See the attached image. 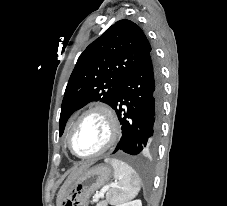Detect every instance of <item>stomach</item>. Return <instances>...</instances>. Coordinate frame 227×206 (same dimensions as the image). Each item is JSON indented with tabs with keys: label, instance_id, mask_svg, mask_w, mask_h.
Returning <instances> with one entry per match:
<instances>
[{
	"label": "stomach",
	"instance_id": "1",
	"mask_svg": "<svg viewBox=\"0 0 227 206\" xmlns=\"http://www.w3.org/2000/svg\"><path fill=\"white\" fill-rule=\"evenodd\" d=\"M111 175L112 170L108 165L99 164L87 169L65 193L66 197H60V205L87 206L91 195L105 185Z\"/></svg>",
	"mask_w": 227,
	"mask_h": 206
}]
</instances>
